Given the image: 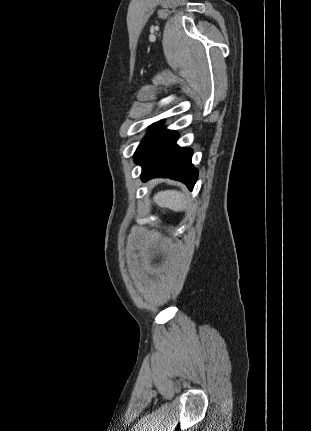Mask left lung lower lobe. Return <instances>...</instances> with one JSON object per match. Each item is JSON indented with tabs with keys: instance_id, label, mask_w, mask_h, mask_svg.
I'll return each instance as SVG.
<instances>
[{
	"instance_id": "obj_1",
	"label": "left lung lower lobe",
	"mask_w": 311,
	"mask_h": 431,
	"mask_svg": "<svg viewBox=\"0 0 311 431\" xmlns=\"http://www.w3.org/2000/svg\"><path fill=\"white\" fill-rule=\"evenodd\" d=\"M178 134L165 128L152 129L141 141L134 154L136 164L142 166L141 178L153 177L179 180L192 190L198 171L191 163L192 150L176 144Z\"/></svg>"
}]
</instances>
